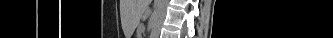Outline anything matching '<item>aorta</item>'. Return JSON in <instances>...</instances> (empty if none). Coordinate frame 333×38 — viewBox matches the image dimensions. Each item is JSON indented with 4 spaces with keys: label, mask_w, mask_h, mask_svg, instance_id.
Wrapping results in <instances>:
<instances>
[{
    "label": "aorta",
    "mask_w": 333,
    "mask_h": 38,
    "mask_svg": "<svg viewBox=\"0 0 333 38\" xmlns=\"http://www.w3.org/2000/svg\"><path fill=\"white\" fill-rule=\"evenodd\" d=\"M169 0H155L154 1V17L150 38H158L161 32L163 22L166 17L167 7Z\"/></svg>",
    "instance_id": "obj_1"
}]
</instances>
